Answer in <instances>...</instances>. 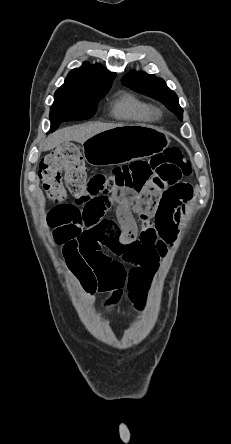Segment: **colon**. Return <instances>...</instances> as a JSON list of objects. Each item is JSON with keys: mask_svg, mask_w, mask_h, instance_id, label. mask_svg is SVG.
Segmentation results:
<instances>
[{"mask_svg": "<svg viewBox=\"0 0 231 444\" xmlns=\"http://www.w3.org/2000/svg\"><path fill=\"white\" fill-rule=\"evenodd\" d=\"M191 173L192 165L182 151L179 148H168L148 160L116 167L103 173L106 182L98 189V193L107 197L123 188L142 190L151 182L178 187L181 185V179ZM39 174L44 190L55 201L64 199L66 190L76 199L89 195L90 179L87 176V166L74 144L62 145L48 154L41 161ZM68 220L69 215L62 204L56 205L48 213V223L53 229L65 225ZM64 257L68 268L81 265V257L73 250L64 252ZM141 297L142 294L134 297L136 303H139Z\"/></svg>", "mask_w": 231, "mask_h": 444, "instance_id": "5ec220e1", "label": "colon"}]
</instances>
